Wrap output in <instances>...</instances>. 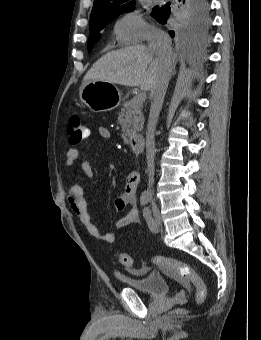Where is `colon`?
I'll return each mask as SVG.
<instances>
[{"mask_svg": "<svg viewBox=\"0 0 261 340\" xmlns=\"http://www.w3.org/2000/svg\"><path fill=\"white\" fill-rule=\"evenodd\" d=\"M67 132L69 142L71 144L80 143L85 139V125L77 115L70 117L68 121ZM118 261L133 272H140L141 270L133 268L134 261L131 256L126 253L117 254ZM153 263L158 267L175 274L177 277L187 283H191L196 289V303L202 304L207 296L206 285L201 276L187 263L168 258L164 256H155Z\"/></svg>", "mask_w": 261, "mask_h": 340, "instance_id": "5ec220e1", "label": "colon"}]
</instances>
